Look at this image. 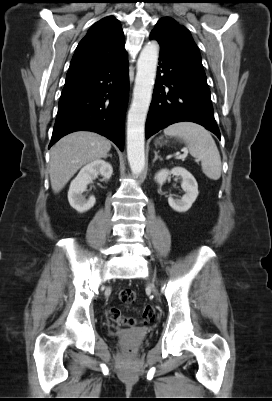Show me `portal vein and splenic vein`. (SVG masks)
Returning <instances> with one entry per match:
<instances>
[{
  "label": "portal vein and splenic vein",
  "mask_w": 272,
  "mask_h": 401,
  "mask_svg": "<svg viewBox=\"0 0 272 401\" xmlns=\"http://www.w3.org/2000/svg\"><path fill=\"white\" fill-rule=\"evenodd\" d=\"M186 156H187V153L184 152L183 154L179 155L177 158L183 159V158H185ZM196 161L198 162L199 160H196Z\"/></svg>",
  "instance_id": "obj_1"
}]
</instances>
